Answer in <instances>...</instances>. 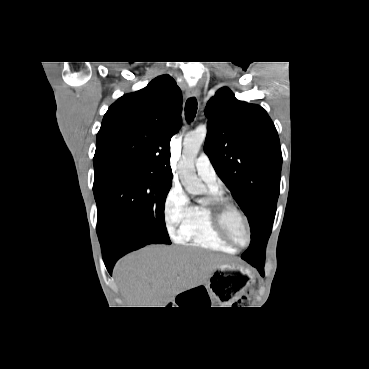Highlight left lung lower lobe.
<instances>
[{"label":"left lung lower lobe","mask_w":369,"mask_h":369,"mask_svg":"<svg viewBox=\"0 0 369 369\" xmlns=\"http://www.w3.org/2000/svg\"><path fill=\"white\" fill-rule=\"evenodd\" d=\"M249 264H251L252 266H254L255 268H257V270L259 271V273L264 276V263L265 262H260V261H250L248 262Z\"/></svg>","instance_id":"left-lung-lower-lobe-1"}]
</instances>
